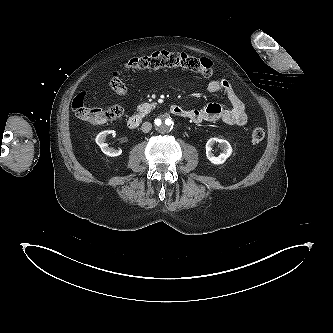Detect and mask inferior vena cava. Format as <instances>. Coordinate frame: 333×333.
<instances>
[{"instance_id": "obj_1", "label": "inferior vena cava", "mask_w": 333, "mask_h": 333, "mask_svg": "<svg viewBox=\"0 0 333 333\" xmlns=\"http://www.w3.org/2000/svg\"><path fill=\"white\" fill-rule=\"evenodd\" d=\"M152 129V124L150 122H144L141 126V130L144 133H148Z\"/></svg>"}]
</instances>
